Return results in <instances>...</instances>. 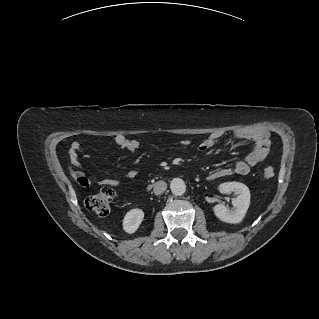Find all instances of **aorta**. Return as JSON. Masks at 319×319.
Here are the masks:
<instances>
[{
  "label": "aorta",
  "mask_w": 319,
  "mask_h": 319,
  "mask_svg": "<svg viewBox=\"0 0 319 319\" xmlns=\"http://www.w3.org/2000/svg\"><path fill=\"white\" fill-rule=\"evenodd\" d=\"M171 192L176 196H181L186 191V184L181 178H174L170 183Z\"/></svg>",
  "instance_id": "aorta-1"
}]
</instances>
